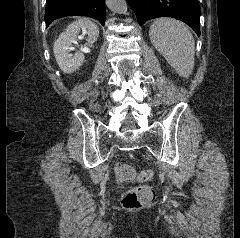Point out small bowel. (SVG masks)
Returning <instances> with one entry per match:
<instances>
[{
  "label": "small bowel",
  "mask_w": 240,
  "mask_h": 238,
  "mask_svg": "<svg viewBox=\"0 0 240 238\" xmlns=\"http://www.w3.org/2000/svg\"><path fill=\"white\" fill-rule=\"evenodd\" d=\"M119 167L118 166H116V171H117V169H118Z\"/></svg>",
  "instance_id": "1"
}]
</instances>
